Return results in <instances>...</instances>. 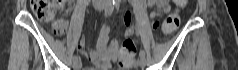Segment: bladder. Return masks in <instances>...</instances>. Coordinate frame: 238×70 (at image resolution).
<instances>
[{"label": "bladder", "instance_id": "obj_1", "mask_svg": "<svg viewBox=\"0 0 238 70\" xmlns=\"http://www.w3.org/2000/svg\"><path fill=\"white\" fill-rule=\"evenodd\" d=\"M109 70H119V69L110 68Z\"/></svg>", "mask_w": 238, "mask_h": 70}]
</instances>
